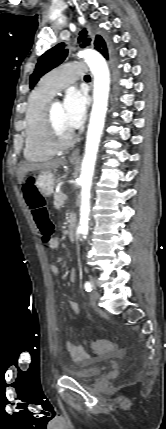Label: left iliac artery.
Listing matches in <instances>:
<instances>
[{"mask_svg": "<svg viewBox=\"0 0 166 429\" xmlns=\"http://www.w3.org/2000/svg\"><path fill=\"white\" fill-rule=\"evenodd\" d=\"M92 284L90 283V282H88V281H86L85 282V284H84V288H85V290L87 291V292H91L92 291Z\"/></svg>", "mask_w": 166, "mask_h": 429, "instance_id": "44dca946", "label": "left iliac artery"}]
</instances>
